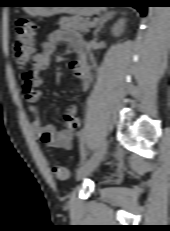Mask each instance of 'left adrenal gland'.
Returning <instances> with one entry per match:
<instances>
[{"instance_id": "obj_1", "label": "left adrenal gland", "mask_w": 170, "mask_h": 231, "mask_svg": "<svg viewBox=\"0 0 170 231\" xmlns=\"http://www.w3.org/2000/svg\"><path fill=\"white\" fill-rule=\"evenodd\" d=\"M115 15V12H107L98 21V26L94 31V37H97L100 30L104 27L105 23H107L109 20H111Z\"/></svg>"}]
</instances>
